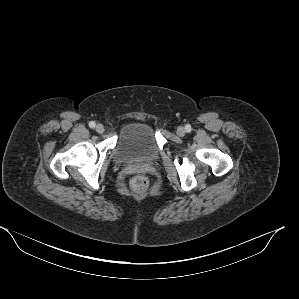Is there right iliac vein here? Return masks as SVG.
<instances>
[{"label": "right iliac vein", "mask_w": 299, "mask_h": 299, "mask_svg": "<svg viewBox=\"0 0 299 299\" xmlns=\"http://www.w3.org/2000/svg\"><path fill=\"white\" fill-rule=\"evenodd\" d=\"M95 130L97 133H103L104 132V126L102 124H97L95 127Z\"/></svg>", "instance_id": "63e3f726"}]
</instances>
